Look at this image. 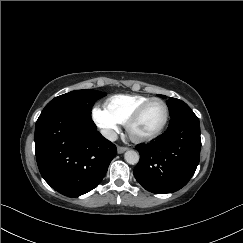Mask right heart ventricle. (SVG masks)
Here are the masks:
<instances>
[{
  "label": "right heart ventricle",
  "mask_w": 243,
  "mask_h": 243,
  "mask_svg": "<svg viewBox=\"0 0 243 243\" xmlns=\"http://www.w3.org/2000/svg\"><path fill=\"white\" fill-rule=\"evenodd\" d=\"M150 99V97L143 95L118 94L106 101L105 108L121 124H125L129 116Z\"/></svg>",
  "instance_id": "obj_1"
}]
</instances>
